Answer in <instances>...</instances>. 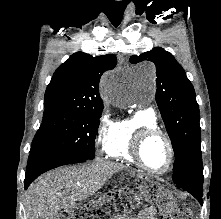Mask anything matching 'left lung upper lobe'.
<instances>
[{"label": "left lung upper lobe", "instance_id": "1", "mask_svg": "<svg viewBox=\"0 0 221 219\" xmlns=\"http://www.w3.org/2000/svg\"><path fill=\"white\" fill-rule=\"evenodd\" d=\"M145 60L156 65V102L175 154L173 182L203 184L199 106L194 88L173 55L163 48L130 58L134 64Z\"/></svg>", "mask_w": 221, "mask_h": 219}]
</instances>
